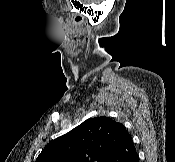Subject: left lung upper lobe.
<instances>
[{"label": "left lung upper lobe", "mask_w": 175, "mask_h": 162, "mask_svg": "<svg viewBox=\"0 0 175 162\" xmlns=\"http://www.w3.org/2000/svg\"><path fill=\"white\" fill-rule=\"evenodd\" d=\"M127 133L109 117L90 118L50 142L36 162H108Z\"/></svg>", "instance_id": "5c2ea615"}]
</instances>
